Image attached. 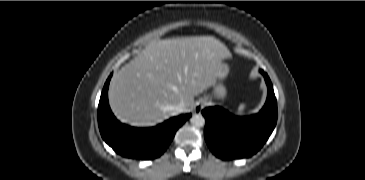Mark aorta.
I'll use <instances>...</instances> for the list:
<instances>
[{
  "instance_id": "1",
  "label": "aorta",
  "mask_w": 365,
  "mask_h": 180,
  "mask_svg": "<svg viewBox=\"0 0 365 180\" xmlns=\"http://www.w3.org/2000/svg\"><path fill=\"white\" fill-rule=\"evenodd\" d=\"M190 121L194 126L197 127H202L205 124V119L201 114L193 115Z\"/></svg>"
}]
</instances>
